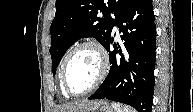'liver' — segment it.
Returning a JSON list of instances; mask_svg holds the SVG:
<instances>
[{"mask_svg": "<svg viewBox=\"0 0 193 112\" xmlns=\"http://www.w3.org/2000/svg\"><path fill=\"white\" fill-rule=\"evenodd\" d=\"M92 103L93 101H88V100L68 103L60 107V112H78L79 110H82L90 106Z\"/></svg>", "mask_w": 193, "mask_h": 112, "instance_id": "1", "label": "liver"}]
</instances>
